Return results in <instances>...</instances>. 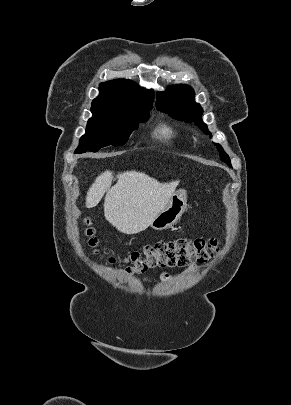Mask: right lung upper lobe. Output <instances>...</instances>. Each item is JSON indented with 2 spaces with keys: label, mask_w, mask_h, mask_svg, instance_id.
<instances>
[{
  "label": "right lung upper lobe",
  "mask_w": 291,
  "mask_h": 405,
  "mask_svg": "<svg viewBox=\"0 0 291 405\" xmlns=\"http://www.w3.org/2000/svg\"><path fill=\"white\" fill-rule=\"evenodd\" d=\"M100 94L92 102L91 110L136 111L152 108L153 91L130 80L118 79L100 84Z\"/></svg>",
  "instance_id": "cb5924a9"
}]
</instances>
